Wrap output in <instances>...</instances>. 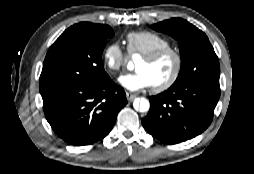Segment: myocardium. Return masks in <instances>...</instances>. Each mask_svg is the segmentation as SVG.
Masks as SVG:
<instances>
[{
	"label": "myocardium",
	"instance_id": "1",
	"mask_svg": "<svg viewBox=\"0 0 254 174\" xmlns=\"http://www.w3.org/2000/svg\"><path fill=\"white\" fill-rule=\"evenodd\" d=\"M166 54H172L174 56L175 67L171 76L165 82L154 86V90L156 92L166 91L176 83L182 70V65H183L182 54L179 51V49L170 45V46H165V47L156 49L142 57V60L152 63L157 61L158 59H160Z\"/></svg>",
	"mask_w": 254,
	"mask_h": 174
}]
</instances>
